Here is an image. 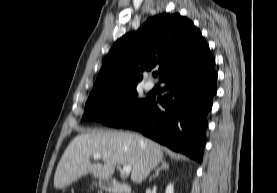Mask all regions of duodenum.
Listing matches in <instances>:
<instances>
[{
  "mask_svg": "<svg viewBox=\"0 0 277 193\" xmlns=\"http://www.w3.org/2000/svg\"><path fill=\"white\" fill-rule=\"evenodd\" d=\"M104 187L110 192V193H133L132 189L129 185L120 183L117 180L114 179H108L104 182Z\"/></svg>",
  "mask_w": 277,
  "mask_h": 193,
  "instance_id": "1",
  "label": "duodenum"
}]
</instances>
